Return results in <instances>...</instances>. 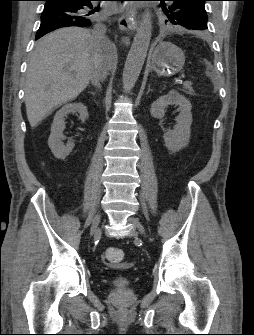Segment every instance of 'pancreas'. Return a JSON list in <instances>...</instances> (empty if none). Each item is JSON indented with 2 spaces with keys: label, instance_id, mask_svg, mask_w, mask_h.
Segmentation results:
<instances>
[{
  "label": "pancreas",
  "instance_id": "obj_1",
  "mask_svg": "<svg viewBox=\"0 0 254 335\" xmlns=\"http://www.w3.org/2000/svg\"><path fill=\"white\" fill-rule=\"evenodd\" d=\"M183 88H184V92L186 93V94H190V95H193V88H192V83L191 82H189V81H186V82H184V84H183Z\"/></svg>",
  "mask_w": 254,
  "mask_h": 335
}]
</instances>
